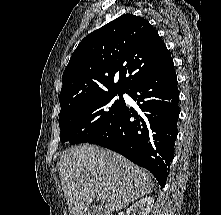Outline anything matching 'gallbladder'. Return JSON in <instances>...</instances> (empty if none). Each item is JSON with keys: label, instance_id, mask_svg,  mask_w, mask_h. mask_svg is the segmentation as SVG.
I'll return each instance as SVG.
<instances>
[{"label": "gallbladder", "instance_id": "bac80fb5", "mask_svg": "<svg viewBox=\"0 0 221 215\" xmlns=\"http://www.w3.org/2000/svg\"><path fill=\"white\" fill-rule=\"evenodd\" d=\"M85 215H104V210L98 206L88 208Z\"/></svg>", "mask_w": 221, "mask_h": 215}]
</instances>
